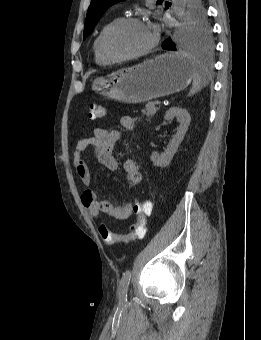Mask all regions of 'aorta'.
Returning <instances> with one entry per match:
<instances>
[{"label": "aorta", "mask_w": 261, "mask_h": 340, "mask_svg": "<svg viewBox=\"0 0 261 340\" xmlns=\"http://www.w3.org/2000/svg\"><path fill=\"white\" fill-rule=\"evenodd\" d=\"M174 6L173 10L177 15H182L185 10L186 0H173Z\"/></svg>", "instance_id": "762f6f07"}]
</instances>
